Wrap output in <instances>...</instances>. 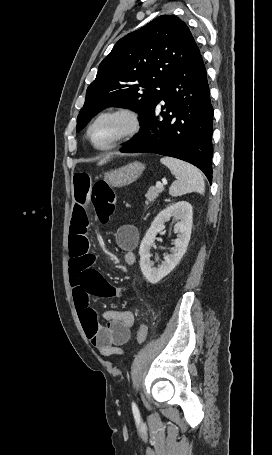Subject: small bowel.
<instances>
[{
	"mask_svg": "<svg viewBox=\"0 0 272 455\" xmlns=\"http://www.w3.org/2000/svg\"><path fill=\"white\" fill-rule=\"evenodd\" d=\"M93 186V179L89 173L83 171L75 173L73 177L75 205L69 231V272L75 307L85 335L103 356L108 357L124 352L122 345L130 339L134 314L128 310H106L103 313L106 324L102 326L90 305L91 296L115 298L129 292L127 289L113 287L93 267L95 256L90 252L87 237L89 228L87 203ZM138 240V231L130 224L120 226L115 233L116 244L123 252L124 261L128 265L136 262L135 248Z\"/></svg>",
	"mask_w": 272,
	"mask_h": 455,
	"instance_id": "1",
	"label": "small bowel"
}]
</instances>
